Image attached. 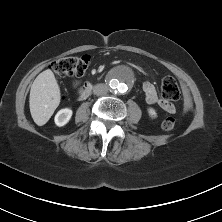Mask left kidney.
<instances>
[{
	"label": "left kidney",
	"instance_id": "obj_1",
	"mask_svg": "<svg viewBox=\"0 0 222 222\" xmlns=\"http://www.w3.org/2000/svg\"><path fill=\"white\" fill-rule=\"evenodd\" d=\"M148 113L149 115L152 117V118H155L156 117V111L153 109V108H149L148 109Z\"/></svg>",
	"mask_w": 222,
	"mask_h": 222
}]
</instances>
